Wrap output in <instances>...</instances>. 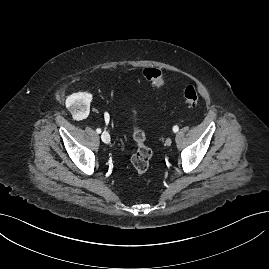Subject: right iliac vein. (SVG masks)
Instances as JSON below:
<instances>
[{"instance_id": "63e3f726", "label": "right iliac vein", "mask_w": 269, "mask_h": 269, "mask_svg": "<svg viewBox=\"0 0 269 269\" xmlns=\"http://www.w3.org/2000/svg\"><path fill=\"white\" fill-rule=\"evenodd\" d=\"M101 139L104 143H109L110 142V135L108 132L104 131L102 134H101Z\"/></svg>"}]
</instances>
